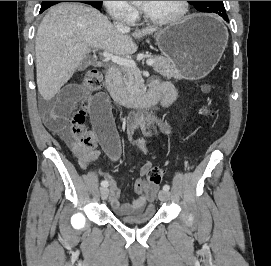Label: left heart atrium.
<instances>
[{
    "mask_svg": "<svg viewBox=\"0 0 271 266\" xmlns=\"http://www.w3.org/2000/svg\"><path fill=\"white\" fill-rule=\"evenodd\" d=\"M143 7H145L146 6V4H147V1H143Z\"/></svg>",
    "mask_w": 271,
    "mask_h": 266,
    "instance_id": "39dd6f15",
    "label": "left heart atrium"
}]
</instances>
